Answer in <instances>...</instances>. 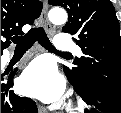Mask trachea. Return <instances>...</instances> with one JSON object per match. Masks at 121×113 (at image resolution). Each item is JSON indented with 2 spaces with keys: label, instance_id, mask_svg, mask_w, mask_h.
Segmentation results:
<instances>
[{
  "label": "trachea",
  "instance_id": "3493384b",
  "mask_svg": "<svg viewBox=\"0 0 121 113\" xmlns=\"http://www.w3.org/2000/svg\"><path fill=\"white\" fill-rule=\"evenodd\" d=\"M37 40L42 47L49 50L50 52L69 55V53L60 52L54 48L42 27L33 28L28 34L23 37L12 38V41L16 44V49L18 50L29 49Z\"/></svg>",
  "mask_w": 121,
  "mask_h": 113
}]
</instances>
